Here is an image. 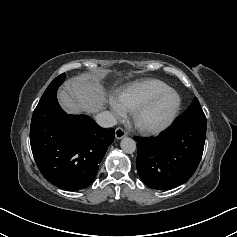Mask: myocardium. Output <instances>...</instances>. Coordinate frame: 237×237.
<instances>
[{
  "label": "myocardium",
  "instance_id": "obj_1",
  "mask_svg": "<svg viewBox=\"0 0 237 237\" xmlns=\"http://www.w3.org/2000/svg\"><path fill=\"white\" fill-rule=\"evenodd\" d=\"M174 96L175 97V104L172 107L171 111L168 113V115L160 122L155 124H149L142 120L143 115L152 108L159 100L162 98H165L167 96ZM182 100L178 92L175 90L169 88L163 92L157 93L143 102H141L138 106H136L132 111V121L135 127L143 132V133H159L166 128H168L175 118L177 117L179 110L181 108Z\"/></svg>",
  "mask_w": 237,
  "mask_h": 237
}]
</instances>
